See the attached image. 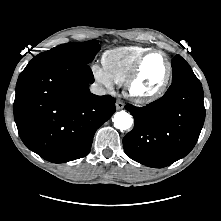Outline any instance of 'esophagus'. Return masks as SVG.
<instances>
[{
  "instance_id": "obj_1",
  "label": "esophagus",
  "mask_w": 221,
  "mask_h": 221,
  "mask_svg": "<svg viewBox=\"0 0 221 221\" xmlns=\"http://www.w3.org/2000/svg\"><path fill=\"white\" fill-rule=\"evenodd\" d=\"M125 104L122 100L117 99L116 100V109L117 110H122L124 108Z\"/></svg>"
}]
</instances>
